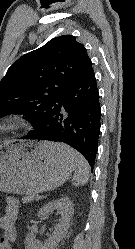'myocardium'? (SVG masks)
<instances>
[{
  "mask_svg": "<svg viewBox=\"0 0 135 249\" xmlns=\"http://www.w3.org/2000/svg\"><path fill=\"white\" fill-rule=\"evenodd\" d=\"M29 126L23 115L10 114L0 119V134L23 131Z\"/></svg>",
  "mask_w": 135,
  "mask_h": 249,
  "instance_id": "obj_1",
  "label": "myocardium"
}]
</instances>
